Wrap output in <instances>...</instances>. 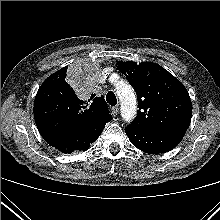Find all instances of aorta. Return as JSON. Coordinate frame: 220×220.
<instances>
[{"label":"aorta","mask_w":220,"mask_h":220,"mask_svg":"<svg viewBox=\"0 0 220 220\" xmlns=\"http://www.w3.org/2000/svg\"><path fill=\"white\" fill-rule=\"evenodd\" d=\"M116 92L121 102V117L124 121L131 122L137 111L135 92L128 84L118 87Z\"/></svg>","instance_id":"obj_1"}]
</instances>
